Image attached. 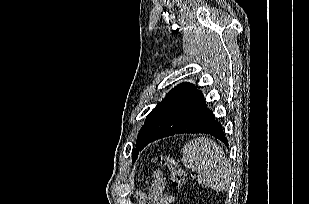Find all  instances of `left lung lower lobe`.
<instances>
[{"label":"left lung lower lobe","mask_w":309,"mask_h":204,"mask_svg":"<svg viewBox=\"0 0 309 204\" xmlns=\"http://www.w3.org/2000/svg\"><path fill=\"white\" fill-rule=\"evenodd\" d=\"M183 133L210 134L228 145L221 123L215 120L199 90L178 100L160 115L144 137L141 150L152 141Z\"/></svg>","instance_id":"left-lung-lower-lobe-1"}]
</instances>
